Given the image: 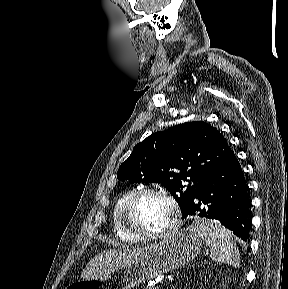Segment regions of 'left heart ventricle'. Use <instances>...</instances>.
Masks as SVG:
<instances>
[{"mask_svg": "<svg viewBox=\"0 0 288 289\" xmlns=\"http://www.w3.org/2000/svg\"><path fill=\"white\" fill-rule=\"evenodd\" d=\"M172 219L168 203L156 196L139 198L129 212V220L137 230L154 233L166 228Z\"/></svg>", "mask_w": 288, "mask_h": 289, "instance_id": "left-heart-ventricle-1", "label": "left heart ventricle"}]
</instances>
